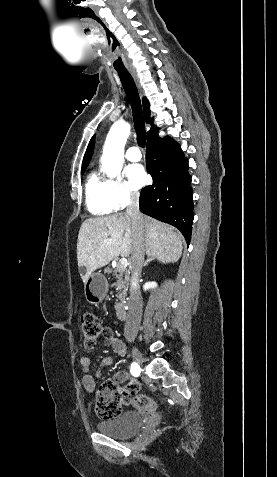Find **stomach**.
I'll use <instances>...</instances> for the list:
<instances>
[{
  "label": "stomach",
  "mask_w": 277,
  "mask_h": 477,
  "mask_svg": "<svg viewBox=\"0 0 277 477\" xmlns=\"http://www.w3.org/2000/svg\"><path fill=\"white\" fill-rule=\"evenodd\" d=\"M107 292L108 281L102 273H92L84 284V296L89 304H99Z\"/></svg>",
  "instance_id": "stomach-1"
}]
</instances>
